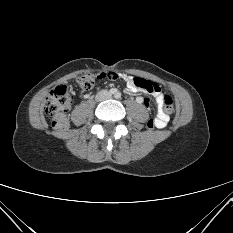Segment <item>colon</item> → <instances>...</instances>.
Here are the masks:
<instances>
[{
	"label": "colon",
	"instance_id": "colon-1",
	"mask_svg": "<svg viewBox=\"0 0 233 233\" xmlns=\"http://www.w3.org/2000/svg\"><path fill=\"white\" fill-rule=\"evenodd\" d=\"M134 84L141 90L156 94L161 91L158 84L141 77H134ZM78 85L85 90L93 87L95 77L91 74H85L78 78ZM164 111L167 114L173 113L174 104L170 96H163ZM72 106V92L67 85L55 87L45 101V112L52 117V126L54 129L64 131L69 128V121L66 112ZM149 129L155 127V119H150L147 123Z\"/></svg>",
	"mask_w": 233,
	"mask_h": 233
}]
</instances>
